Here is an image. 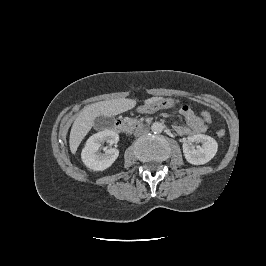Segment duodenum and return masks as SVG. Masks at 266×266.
Returning a JSON list of instances; mask_svg holds the SVG:
<instances>
[{
    "mask_svg": "<svg viewBox=\"0 0 266 266\" xmlns=\"http://www.w3.org/2000/svg\"><path fill=\"white\" fill-rule=\"evenodd\" d=\"M114 126L116 131L120 133H126L132 129L131 125L122 117L116 119Z\"/></svg>",
    "mask_w": 266,
    "mask_h": 266,
    "instance_id": "1",
    "label": "duodenum"
}]
</instances>
